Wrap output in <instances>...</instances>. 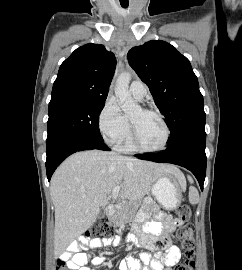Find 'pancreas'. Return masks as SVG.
<instances>
[{
  "label": "pancreas",
  "instance_id": "obj_1",
  "mask_svg": "<svg viewBox=\"0 0 242 270\" xmlns=\"http://www.w3.org/2000/svg\"><path fill=\"white\" fill-rule=\"evenodd\" d=\"M139 204L127 202L116 207L113 215L109 217L110 222L117 226L131 222L136 214Z\"/></svg>",
  "mask_w": 242,
  "mask_h": 270
}]
</instances>
